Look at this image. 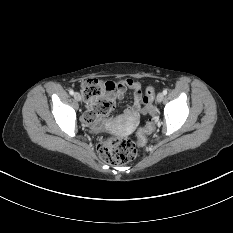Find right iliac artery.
<instances>
[{"instance_id":"1","label":"right iliac artery","mask_w":233,"mask_h":233,"mask_svg":"<svg viewBox=\"0 0 233 233\" xmlns=\"http://www.w3.org/2000/svg\"><path fill=\"white\" fill-rule=\"evenodd\" d=\"M69 93H70V95H74V91L73 90H70Z\"/></svg>"}]
</instances>
